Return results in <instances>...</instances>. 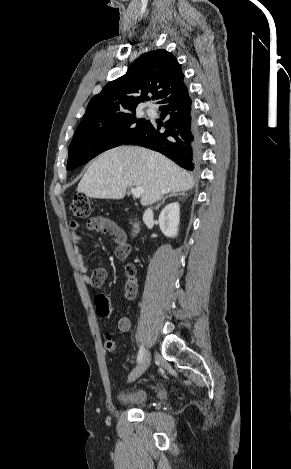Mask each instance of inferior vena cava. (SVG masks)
I'll return each instance as SVG.
<instances>
[{
    "label": "inferior vena cava",
    "mask_w": 291,
    "mask_h": 469,
    "mask_svg": "<svg viewBox=\"0 0 291 469\" xmlns=\"http://www.w3.org/2000/svg\"><path fill=\"white\" fill-rule=\"evenodd\" d=\"M153 215V212H152V209L151 208H148L145 213H144V218L146 217H151Z\"/></svg>",
    "instance_id": "1"
}]
</instances>
